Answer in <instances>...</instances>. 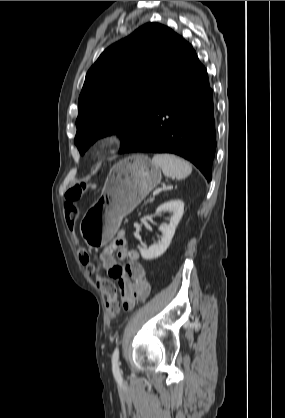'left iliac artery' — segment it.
<instances>
[{"label":"left iliac artery","mask_w":285,"mask_h":418,"mask_svg":"<svg viewBox=\"0 0 285 418\" xmlns=\"http://www.w3.org/2000/svg\"><path fill=\"white\" fill-rule=\"evenodd\" d=\"M112 372L113 375L118 378L121 379V370H120V361H119V348L116 347L113 355H112Z\"/></svg>","instance_id":"left-iliac-artery-1"}]
</instances>
